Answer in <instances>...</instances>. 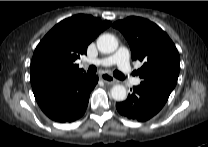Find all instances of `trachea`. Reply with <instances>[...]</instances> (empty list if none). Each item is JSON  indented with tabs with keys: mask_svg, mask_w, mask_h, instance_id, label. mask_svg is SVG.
I'll use <instances>...</instances> for the list:
<instances>
[{
	"mask_svg": "<svg viewBox=\"0 0 208 147\" xmlns=\"http://www.w3.org/2000/svg\"><path fill=\"white\" fill-rule=\"evenodd\" d=\"M96 71H97V68L95 66H90L88 69V74L94 75ZM113 75L120 80H123L125 78V76L117 70L113 72Z\"/></svg>",
	"mask_w": 208,
	"mask_h": 147,
	"instance_id": "trachea-1",
	"label": "trachea"
}]
</instances>
